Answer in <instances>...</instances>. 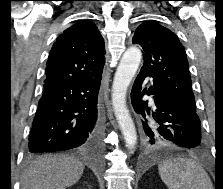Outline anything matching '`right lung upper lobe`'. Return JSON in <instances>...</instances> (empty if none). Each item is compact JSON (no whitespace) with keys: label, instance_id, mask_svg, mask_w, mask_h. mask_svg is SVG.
I'll return each mask as SVG.
<instances>
[{"label":"right lung upper lobe","instance_id":"cb5924a9","mask_svg":"<svg viewBox=\"0 0 223 189\" xmlns=\"http://www.w3.org/2000/svg\"><path fill=\"white\" fill-rule=\"evenodd\" d=\"M105 46L93 22L80 21L61 34L46 64L44 83L82 80L101 74Z\"/></svg>","mask_w":223,"mask_h":189}]
</instances>
